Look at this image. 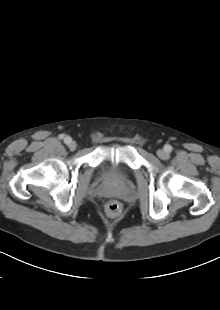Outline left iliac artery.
I'll list each match as a JSON object with an SVG mask.
<instances>
[{
  "label": "left iliac artery",
  "instance_id": "44dca946",
  "mask_svg": "<svg viewBox=\"0 0 220 310\" xmlns=\"http://www.w3.org/2000/svg\"><path fill=\"white\" fill-rule=\"evenodd\" d=\"M164 149H165L167 152H171V151H172V146H170V145H165Z\"/></svg>",
  "mask_w": 220,
  "mask_h": 310
}]
</instances>
